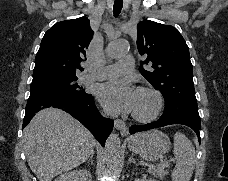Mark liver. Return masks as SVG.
Listing matches in <instances>:
<instances>
[{"label":"liver","mask_w":228,"mask_h":181,"mask_svg":"<svg viewBox=\"0 0 228 181\" xmlns=\"http://www.w3.org/2000/svg\"><path fill=\"white\" fill-rule=\"evenodd\" d=\"M96 141L71 115L60 109H43L24 129L27 163L38 181H52L85 163L94 155Z\"/></svg>","instance_id":"liver-1"}]
</instances>
